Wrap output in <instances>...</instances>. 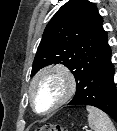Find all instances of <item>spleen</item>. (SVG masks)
I'll use <instances>...</instances> for the list:
<instances>
[{
	"mask_svg": "<svg viewBox=\"0 0 117 131\" xmlns=\"http://www.w3.org/2000/svg\"><path fill=\"white\" fill-rule=\"evenodd\" d=\"M88 123L93 131H116L107 114L98 108L87 106Z\"/></svg>",
	"mask_w": 117,
	"mask_h": 131,
	"instance_id": "1",
	"label": "spleen"
}]
</instances>
